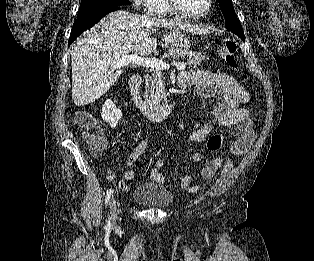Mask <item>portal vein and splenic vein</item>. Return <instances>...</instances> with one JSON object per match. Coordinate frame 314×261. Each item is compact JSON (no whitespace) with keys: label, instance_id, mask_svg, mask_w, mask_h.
Segmentation results:
<instances>
[{"label":"portal vein and splenic vein","instance_id":"18ae733b","mask_svg":"<svg viewBox=\"0 0 314 261\" xmlns=\"http://www.w3.org/2000/svg\"><path fill=\"white\" fill-rule=\"evenodd\" d=\"M130 63L142 67L163 70L169 69L170 65L166 64L163 60H159L156 58H147V57H140L137 55H126L122 57L115 65L114 68L125 67ZM179 70H184L187 66L186 63H172Z\"/></svg>","mask_w":314,"mask_h":261}]
</instances>
